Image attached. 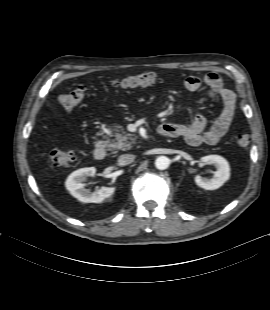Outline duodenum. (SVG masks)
I'll list each match as a JSON object with an SVG mask.
<instances>
[{
  "instance_id": "1",
  "label": "duodenum",
  "mask_w": 270,
  "mask_h": 310,
  "mask_svg": "<svg viewBox=\"0 0 270 310\" xmlns=\"http://www.w3.org/2000/svg\"><path fill=\"white\" fill-rule=\"evenodd\" d=\"M161 134L165 137H168L164 134V131L161 132ZM171 138V137H168ZM107 151H106V145L104 144V142L99 141L94 148V157L97 160H102L106 157Z\"/></svg>"
}]
</instances>
